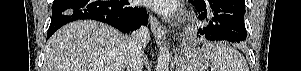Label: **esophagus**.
I'll use <instances>...</instances> for the list:
<instances>
[{
	"mask_svg": "<svg viewBox=\"0 0 301 71\" xmlns=\"http://www.w3.org/2000/svg\"><path fill=\"white\" fill-rule=\"evenodd\" d=\"M149 20L156 43L158 45H161L165 37L166 30L164 26L152 14H149Z\"/></svg>",
	"mask_w": 301,
	"mask_h": 71,
	"instance_id": "obj_1",
	"label": "esophagus"
}]
</instances>
